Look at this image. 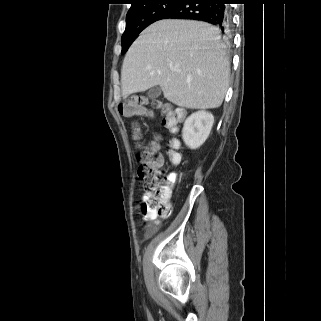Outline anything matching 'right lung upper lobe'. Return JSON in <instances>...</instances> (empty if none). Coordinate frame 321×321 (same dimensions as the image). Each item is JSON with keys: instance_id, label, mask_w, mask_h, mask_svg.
I'll return each mask as SVG.
<instances>
[{"instance_id": "cb5924a9", "label": "right lung upper lobe", "mask_w": 321, "mask_h": 321, "mask_svg": "<svg viewBox=\"0 0 321 321\" xmlns=\"http://www.w3.org/2000/svg\"><path fill=\"white\" fill-rule=\"evenodd\" d=\"M131 1H132L131 7H135V6L142 5V4L152 1V0H131Z\"/></svg>"}]
</instances>
